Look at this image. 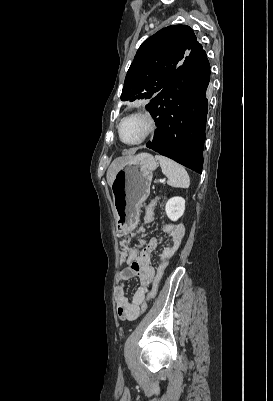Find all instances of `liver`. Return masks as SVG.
<instances>
[{
    "label": "liver",
    "mask_w": 273,
    "mask_h": 401,
    "mask_svg": "<svg viewBox=\"0 0 273 401\" xmlns=\"http://www.w3.org/2000/svg\"><path fill=\"white\" fill-rule=\"evenodd\" d=\"M134 152H136V148H132L131 152H127V156H118V158H115L110 166H108L106 178L109 186H112L115 174L117 170L121 168L122 164H125L128 160H135V158H138L139 154H136L135 156Z\"/></svg>",
    "instance_id": "1"
}]
</instances>
